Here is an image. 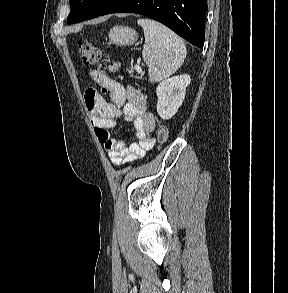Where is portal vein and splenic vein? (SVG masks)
I'll use <instances>...</instances> for the list:
<instances>
[{
  "instance_id": "obj_1",
  "label": "portal vein and splenic vein",
  "mask_w": 288,
  "mask_h": 293,
  "mask_svg": "<svg viewBox=\"0 0 288 293\" xmlns=\"http://www.w3.org/2000/svg\"><path fill=\"white\" fill-rule=\"evenodd\" d=\"M135 70H136L137 72H141V67H139V66H135Z\"/></svg>"
}]
</instances>
